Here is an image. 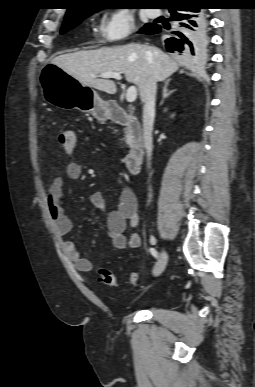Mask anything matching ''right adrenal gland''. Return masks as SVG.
Here are the masks:
<instances>
[{
	"label": "right adrenal gland",
	"instance_id": "obj_1",
	"mask_svg": "<svg viewBox=\"0 0 255 387\" xmlns=\"http://www.w3.org/2000/svg\"><path fill=\"white\" fill-rule=\"evenodd\" d=\"M170 79L166 80L164 83H163V86H162V99L160 101V106L163 105L164 103V100L166 98H168L173 92L174 90H171L169 91L168 90V86H169V83H170Z\"/></svg>",
	"mask_w": 255,
	"mask_h": 387
}]
</instances>
